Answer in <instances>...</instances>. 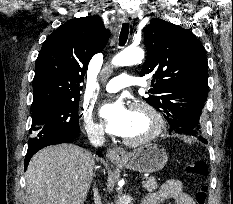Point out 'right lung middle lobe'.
<instances>
[{"instance_id":"obj_1","label":"right lung middle lobe","mask_w":233,"mask_h":204,"mask_svg":"<svg viewBox=\"0 0 233 204\" xmlns=\"http://www.w3.org/2000/svg\"><path fill=\"white\" fill-rule=\"evenodd\" d=\"M78 106L79 99L51 101L32 106L28 151H37L60 136L79 135Z\"/></svg>"}]
</instances>
